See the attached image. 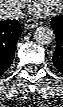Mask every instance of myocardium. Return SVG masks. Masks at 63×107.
Wrapping results in <instances>:
<instances>
[{
    "label": "myocardium",
    "mask_w": 63,
    "mask_h": 107,
    "mask_svg": "<svg viewBox=\"0 0 63 107\" xmlns=\"http://www.w3.org/2000/svg\"><path fill=\"white\" fill-rule=\"evenodd\" d=\"M33 6L46 14H56L62 9L63 1L59 0L55 4H49L47 0H35Z\"/></svg>",
    "instance_id": "f54148a6"
}]
</instances>
